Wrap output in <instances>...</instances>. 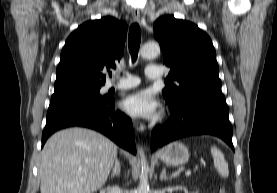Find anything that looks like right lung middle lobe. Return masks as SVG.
<instances>
[{"label":"right lung middle lobe","instance_id":"1","mask_svg":"<svg viewBox=\"0 0 277 193\" xmlns=\"http://www.w3.org/2000/svg\"><path fill=\"white\" fill-rule=\"evenodd\" d=\"M100 87H94V88H88V89H83V90H79L81 92H89V93H97L99 94V91H100Z\"/></svg>","mask_w":277,"mask_h":193}]
</instances>
